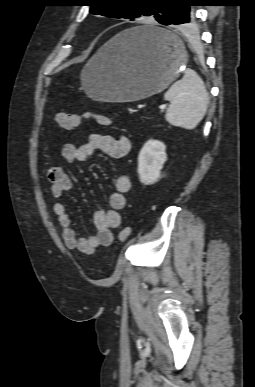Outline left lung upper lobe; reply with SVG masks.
Listing matches in <instances>:
<instances>
[{
  "mask_svg": "<svg viewBox=\"0 0 255 387\" xmlns=\"http://www.w3.org/2000/svg\"><path fill=\"white\" fill-rule=\"evenodd\" d=\"M185 0H86L90 12L109 18L134 20L151 16L161 24L171 18L175 5Z\"/></svg>",
  "mask_w": 255,
  "mask_h": 387,
  "instance_id": "5c2ea615",
  "label": "left lung upper lobe"
}]
</instances>
